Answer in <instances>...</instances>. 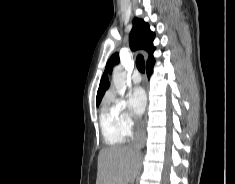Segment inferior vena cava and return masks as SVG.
<instances>
[{
  "label": "inferior vena cava",
  "mask_w": 235,
  "mask_h": 184,
  "mask_svg": "<svg viewBox=\"0 0 235 184\" xmlns=\"http://www.w3.org/2000/svg\"><path fill=\"white\" fill-rule=\"evenodd\" d=\"M146 132L144 130L143 120H135V134L134 140L131 144V148L139 156L141 148H144Z\"/></svg>",
  "instance_id": "inferior-vena-cava-1"
}]
</instances>
